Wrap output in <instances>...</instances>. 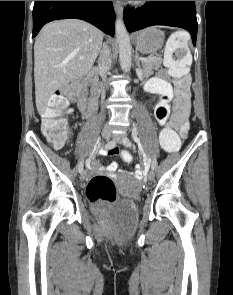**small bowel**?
<instances>
[{
  "instance_id": "c3829d8e",
  "label": "small bowel",
  "mask_w": 233,
  "mask_h": 295,
  "mask_svg": "<svg viewBox=\"0 0 233 295\" xmlns=\"http://www.w3.org/2000/svg\"><path fill=\"white\" fill-rule=\"evenodd\" d=\"M147 92L160 96V99L154 105V116L160 125L168 124L169 127L178 131L182 139L186 138L188 131V117L190 114V93L189 90L178 92L173 88L167 80L164 71H160L156 77L151 78L145 85ZM170 117V119H169ZM169 119V121H168ZM109 154H116L117 148H107ZM91 167L95 170L114 173L119 170L116 162H111L107 166H100L93 158L91 159ZM135 177L141 179L142 170L139 168L134 173Z\"/></svg>"
}]
</instances>
